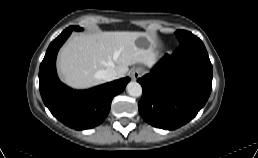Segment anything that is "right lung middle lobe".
Instances as JSON below:
<instances>
[{
	"mask_svg": "<svg viewBox=\"0 0 258 158\" xmlns=\"http://www.w3.org/2000/svg\"><path fill=\"white\" fill-rule=\"evenodd\" d=\"M70 29L71 30H78V31L82 30V28H80L78 26H71Z\"/></svg>",
	"mask_w": 258,
	"mask_h": 158,
	"instance_id": "1",
	"label": "right lung middle lobe"
}]
</instances>
